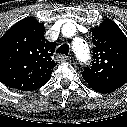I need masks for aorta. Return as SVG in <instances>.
I'll return each mask as SVG.
<instances>
[{
  "mask_svg": "<svg viewBox=\"0 0 127 127\" xmlns=\"http://www.w3.org/2000/svg\"><path fill=\"white\" fill-rule=\"evenodd\" d=\"M74 46L77 50V56L81 62H87L90 59L89 49L87 45L81 39H77L74 42Z\"/></svg>",
  "mask_w": 127,
  "mask_h": 127,
  "instance_id": "1",
  "label": "aorta"
}]
</instances>
